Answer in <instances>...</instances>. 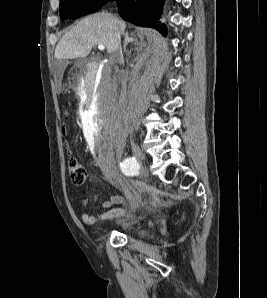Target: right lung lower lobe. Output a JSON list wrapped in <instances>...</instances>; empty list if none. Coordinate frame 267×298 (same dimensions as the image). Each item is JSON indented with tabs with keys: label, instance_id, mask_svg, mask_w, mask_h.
<instances>
[{
	"label": "right lung lower lobe",
	"instance_id": "right-lung-lower-lobe-1",
	"mask_svg": "<svg viewBox=\"0 0 267 298\" xmlns=\"http://www.w3.org/2000/svg\"><path fill=\"white\" fill-rule=\"evenodd\" d=\"M108 1L113 0H107L106 3ZM116 2L124 20L135 25L155 28L166 36L165 24L157 25L164 0H116Z\"/></svg>",
	"mask_w": 267,
	"mask_h": 298
}]
</instances>
